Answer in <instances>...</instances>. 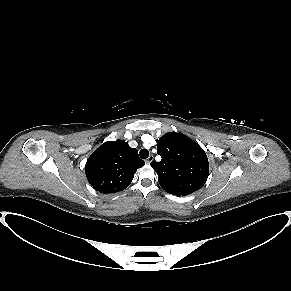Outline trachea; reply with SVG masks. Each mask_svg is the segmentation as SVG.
Returning a JSON list of instances; mask_svg holds the SVG:
<instances>
[{"label":"trachea","mask_w":291,"mask_h":291,"mask_svg":"<svg viewBox=\"0 0 291 291\" xmlns=\"http://www.w3.org/2000/svg\"><path fill=\"white\" fill-rule=\"evenodd\" d=\"M139 155L142 159H146L149 157V151L147 149H142L140 152H139Z\"/></svg>","instance_id":"obj_1"}]
</instances>
